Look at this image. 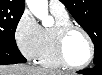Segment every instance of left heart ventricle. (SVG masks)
I'll use <instances>...</instances> for the list:
<instances>
[{"label":"left heart ventricle","mask_w":102,"mask_h":75,"mask_svg":"<svg viewBox=\"0 0 102 75\" xmlns=\"http://www.w3.org/2000/svg\"><path fill=\"white\" fill-rule=\"evenodd\" d=\"M65 53L71 62H78L89 55V44L80 31L71 32L65 40Z\"/></svg>","instance_id":"obj_1"}]
</instances>
